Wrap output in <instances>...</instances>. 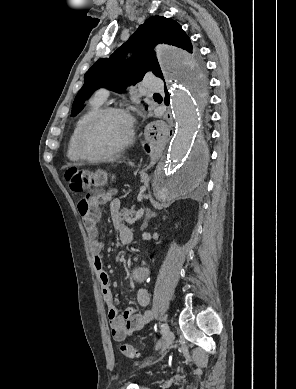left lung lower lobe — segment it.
<instances>
[{
  "mask_svg": "<svg viewBox=\"0 0 296 389\" xmlns=\"http://www.w3.org/2000/svg\"><path fill=\"white\" fill-rule=\"evenodd\" d=\"M165 93H166L165 104L168 105L169 104V94H168L166 89H165Z\"/></svg>",
  "mask_w": 296,
  "mask_h": 389,
  "instance_id": "1",
  "label": "left lung lower lobe"
}]
</instances>
